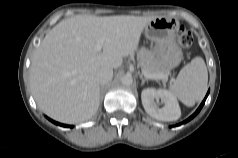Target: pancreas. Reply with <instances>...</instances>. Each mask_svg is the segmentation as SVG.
I'll list each match as a JSON object with an SVG mask.
<instances>
[{
  "mask_svg": "<svg viewBox=\"0 0 238 158\" xmlns=\"http://www.w3.org/2000/svg\"><path fill=\"white\" fill-rule=\"evenodd\" d=\"M137 58L142 71H147L151 74L167 75V70L159 63L149 50L141 48L138 51Z\"/></svg>",
  "mask_w": 238,
  "mask_h": 158,
  "instance_id": "obj_1",
  "label": "pancreas"
}]
</instances>
